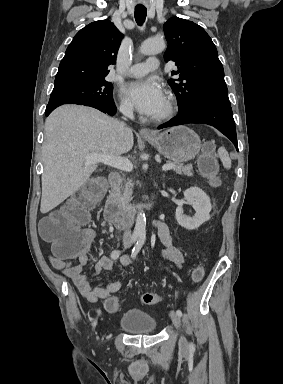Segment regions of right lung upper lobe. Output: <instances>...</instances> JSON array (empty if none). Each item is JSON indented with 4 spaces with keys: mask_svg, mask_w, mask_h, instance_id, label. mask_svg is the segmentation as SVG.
Masks as SVG:
<instances>
[{
    "mask_svg": "<svg viewBox=\"0 0 283 384\" xmlns=\"http://www.w3.org/2000/svg\"><path fill=\"white\" fill-rule=\"evenodd\" d=\"M123 35L109 20H99L81 29L60 62L55 86L105 79L115 64Z\"/></svg>",
    "mask_w": 283,
    "mask_h": 384,
    "instance_id": "1",
    "label": "right lung upper lobe"
}]
</instances>
